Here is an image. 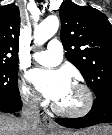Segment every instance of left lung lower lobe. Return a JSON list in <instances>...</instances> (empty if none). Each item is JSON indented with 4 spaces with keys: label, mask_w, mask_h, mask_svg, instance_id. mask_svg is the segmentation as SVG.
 I'll use <instances>...</instances> for the list:
<instances>
[{
    "label": "left lung lower lobe",
    "mask_w": 112,
    "mask_h": 135,
    "mask_svg": "<svg viewBox=\"0 0 112 135\" xmlns=\"http://www.w3.org/2000/svg\"><path fill=\"white\" fill-rule=\"evenodd\" d=\"M59 125L67 128H85L100 123H112V93L97 97L91 111L80 118H57Z\"/></svg>",
    "instance_id": "0a47b994"
}]
</instances>
